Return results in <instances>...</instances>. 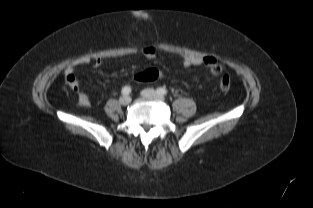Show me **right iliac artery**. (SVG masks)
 I'll use <instances>...</instances> for the list:
<instances>
[{
	"instance_id": "1",
	"label": "right iliac artery",
	"mask_w": 313,
	"mask_h": 208,
	"mask_svg": "<svg viewBox=\"0 0 313 208\" xmlns=\"http://www.w3.org/2000/svg\"><path fill=\"white\" fill-rule=\"evenodd\" d=\"M121 93L123 95H129L131 93V88L129 86H125L124 88H122Z\"/></svg>"
}]
</instances>
